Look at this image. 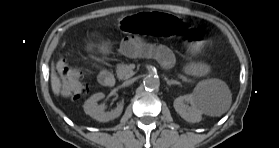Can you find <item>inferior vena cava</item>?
Wrapping results in <instances>:
<instances>
[{
    "label": "inferior vena cava",
    "mask_w": 279,
    "mask_h": 148,
    "mask_svg": "<svg viewBox=\"0 0 279 148\" xmlns=\"http://www.w3.org/2000/svg\"><path fill=\"white\" fill-rule=\"evenodd\" d=\"M134 82V79H130V80H127L126 82H124V85L128 86L130 84H132Z\"/></svg>",
    "instance_id": "1"
}]
</instances>
